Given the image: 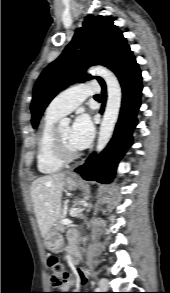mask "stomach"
<instances>
[{"mask_svg": "<svg viewBox=\"0 0 170 293\" xmlns=\"http://www.w3.org/2000/svg\"><path fill=\"white\" fill-rule=\"evenodd\" d=\"M79 185L80 179L75 175H68L64 179V187L66 190H74ZM44 244L48 250L58 252L63 246V237L59 232L50 230L44 237Z\"/></svg>", "mask_w": 170, "mask_h": 293, "instance_id": "0dacf381", "label": "stomach"}]
</instances>
